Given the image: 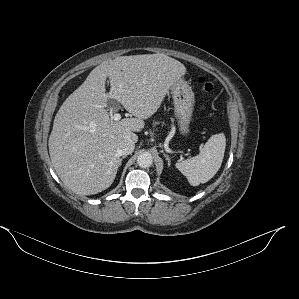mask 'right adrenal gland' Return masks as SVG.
Segmentation results:
<instances>
[{"mask_svg": "<svg viewBox=\"0 0 299 299\" xmlns=\"http://www.w3.org/2000/svg\"><path fill=\"white\" fill-rule=\"evenodd\" d=\"M126 156L121 157V161L125 158Z\"/></svg>", "mask_w": 299, "mask_h": 299, "instance_id": "right-adrenal-gland-1", "label": "right adrenal gland"}]
</instances>
